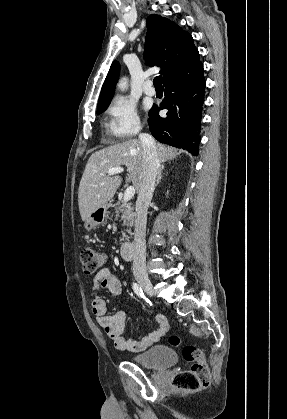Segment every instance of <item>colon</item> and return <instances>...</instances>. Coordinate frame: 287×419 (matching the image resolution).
<instances>
[{
  "label": "colon",
  "mask_w": 287,
  "mask_h": 419,
  "mask_svg": "<svg viewBox=\"0 0 287 419\" xmlns=\"http://www.w3.org/2000/svg\"><path fill=\"white\" fill-rule=\"evenodd\" d=\"M80 259L86 274H93L104 268L106 256L94 247L82 249ZM172 346H178L181 339L172 335L169 338ZM183 358L191 363L188 370L180 371L172 376L171 383L174 387L186 390H199L209 384L210 372L203 352L194 345H185L182 348Z\"/></svg>",
  "instance_id": "colon-1"
}]
</instances>
